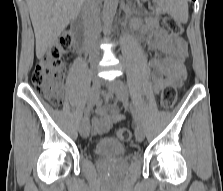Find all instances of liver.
I'll return each mask as SVG.
<instances>
[{
  "instance_id": "6515ba94",
  "label": "liver",
  "mask_w": 223,
  "mask_h": 191,
  "mask_svg": "<svg viewBox=\"0 0 223 191\" xmlns=\"http://www.w3.org/2000/svg\"><path fill=\"white\" fill-rule=\"evenodd\" d=\"M84 0H27L36 38V56L42 59L59 35L80 13Z\"/></svg>"
}]
</instances>
